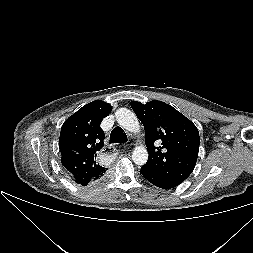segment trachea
I'll list each match as a JSON object with an SVG mask.
<instances>
[{
	"instance_id": "trachea-1",
	"label": "trachea",
	"mask_w": 253,
	"mask_h": 253,
	"mask_svg": "<svg viewBox=\"0 0 253 253\" xmlns=\"http://www.w3.org/2000/svg\"><path fill=\"white\" fill-rule=\"evenodd\" d=\"M127 142V136L121 127H116L111 131L110 143H125Z\"/></svg>"
}]
</instances>
